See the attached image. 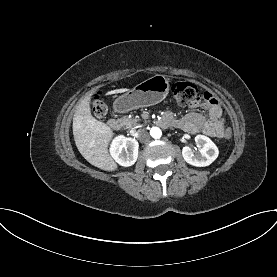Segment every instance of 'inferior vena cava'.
<instances>
[{"mask_svg": "<svg viewBox=\"0 0 277 277\" xmlns=\"http://www.w3.org/2000/svg\"><path fill=\"white\" fill-rule=\"evenodd\" d=\"M137 138L140 142H147L150 139V135L146 130L140 129L137 132Z\"/></svg>", "mask_w": 277, "mask_h": 277, "instance_id": "602c4592", "label": "inferior vena cava"}]
</instances>
